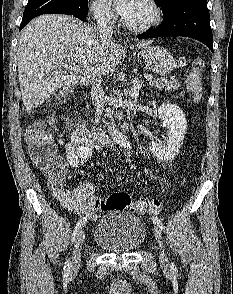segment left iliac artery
Segmentation results:
<instances>
[{"instance_id": "obj_1", "label": "left iliac artery", "mask_w": 233, "mask_h": 294, "mask_svg": "<svg viewBox=\"0 0 233 294\" xmlns=\"http://www.w3.org/2000/svg\"><path fill=\"white\" fill-rule=\"evenodd\" d=\"M152 221H153L154 224H156L158 227H160V229H164L163 224H162L161 220L158 217H153Z\"/></svg>"}]
</instances>
